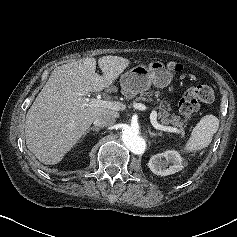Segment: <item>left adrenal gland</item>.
<instances>
[{"label":"left adrenal gland","mask_w":237,"mask_h":237,"mask_svg":"<svg viewBox=\"0 0 237 237\" xmlns=\"http://www.w3.org/2000/svg\"><path fill=\"white\" fill-rule=\"evenodd\" d=\"M149 135L151 136V137H156V136H162V133H154V132H149Z\"/></svg>","instance_id":"a2214340"}]
</instances>
